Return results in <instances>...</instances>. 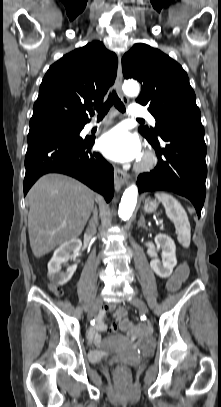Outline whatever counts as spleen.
Masks as SVG:
<instances>
[{"instance_id":"3e777b00","label":"spleen","mask_w":221,"mask_h":407,"mask_svg":"<svg viewBox=\"0 0 221 407\" xmlns=\"http://www.w3.org/2000/svg\"><path fill=\"white\" fill-rule=\"evenodd\" d=\"M155 197L162 202L167 217L173 221L176 228L178 241L184 247H189L191 241V227L187 213L180 202L171 194L165 192H156Z\"/></svg>"}]
</instances>
